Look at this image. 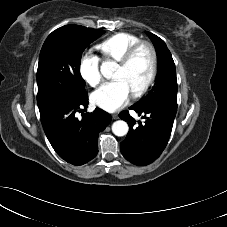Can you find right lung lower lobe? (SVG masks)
I'll return each instance as SVG.
<instances>
[{
  "label": "right lung lower lobe",
  "instance_id": "98d812e1",
  "mask_svg": "<svg viewBox=\"0 0 227 227\" xmlns=\"http://www.w3.org/2000/svg\"><path fill=\"white\" fill-rule=\"evenodd\" d=\"M87 107L86 93L76 101L60 102L39 110L53 149L73 165H83L97 155L98 135L111 121V116L99 108L85 113Z\"/></svg>",
  "mask_w": 227,
  "mask_h": 227
}]
</instances>
